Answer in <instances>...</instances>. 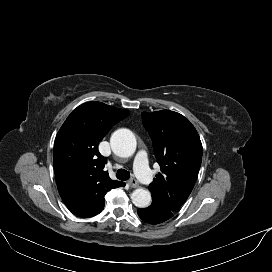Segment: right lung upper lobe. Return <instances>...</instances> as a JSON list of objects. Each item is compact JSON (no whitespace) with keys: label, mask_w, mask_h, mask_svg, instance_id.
Listing matches in <instances>:
<instances>
[{"label":"right lung upper lobe","mask_w":272,"mask_h":272,"mask_svg":"<svg viewBox=\"0 0 272 272\" xmlns=\"http://www.w3.org/2000/svg\"><path fill=\"white\" fill-rule=\"evenodd\" d=\"M129 111L89 102L78 106L60 128L54 144V170L65 205L80 217L101 212L104 196L124 182L111 180L97 145Z\"/></svg>","instance_id":"obj_1"}]
</instances>
